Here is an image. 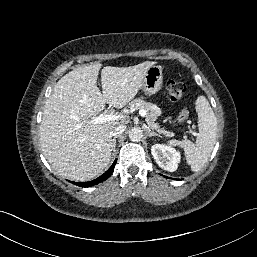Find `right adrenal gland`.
Masks as SVG:
<instances>
[{
  "label": "right adrenal gland",
  "instance_id": "obj_1",
  "mask_svg": "<svg viewBox=\"0 0 257 257\" xmlns=\"http://www.w3.org/2000/svg\"><path fill=\"white\" fill-rule=\"evenodd\" d=\"M116 148V137L113 138V152H115Z\"/></svg>",
  "mask_w": 257,
  "mask_h": 257
}]
</instances>
